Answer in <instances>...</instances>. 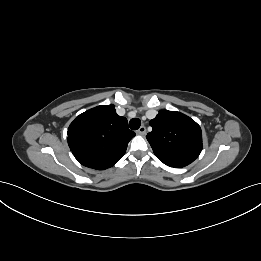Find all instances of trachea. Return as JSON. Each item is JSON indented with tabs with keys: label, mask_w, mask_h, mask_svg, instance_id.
<instances>
[{
	"label": "trachea",
	"mask_w": 261,
	"mask_h": 261,
	"mask_svg": "<svg viewBox=\"0 0 261 261\" xmlns=\"http://www.w3.org/2000/svg\"><path fill=\"white\" fill-rule=\"evenodd\" d=\"M129 126L132 130H137L141 126V120L139 118H133L130 120Z\"/></svg>",
	"instance_id": "1"
}]
</instances>
